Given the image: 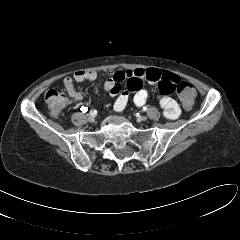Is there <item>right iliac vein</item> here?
<instances>
[{
	"instance_id": "1",
	"label": "right iliac vein",
	"mask_w": 240,
	"mask_h": 240,
	"mask_svg": "<svg viewBox=\"0 0 240 240\" xmlns=\"http://www.w3.org/2000/svg\"><path fill=\"white\" fill-rule=\"evenodd\" d=\"M88 121H89L90 123H93V122L95 121L94 115L89 114V116H88Z\"/></svg>"
}]
</instances>
